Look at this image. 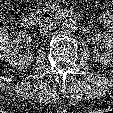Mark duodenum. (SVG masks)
Listing matches in <instances>:
<instances>
[{
    "mask_svg": "<svg viewBox=\"0 0 113 113\" xmlns=\"http://www.w3.org/2000/svg\"><path fill=\"white\" fill-rule=\"evenodd\" d=\"M72 13L68 9H59L50 13L35 14L29 13L22 17L21 24L25 28L33 26L38 21H59L69 19Z\"/></svg>",
    "mask_w": 113,
    "mask_h": 113,
    "instance_id": "obj_1",
    "label": "duodenum"
}]
</instances>
